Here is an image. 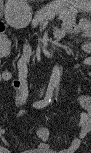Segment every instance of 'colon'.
Listing matches in <instances>:
<instances>
[{
  "label": "colon",
  "instance_id": "colon-1",
  "mask_svg": "<svg viewBox=\"0 0 91 153\" xmlns=\"http://www.w3.org/2000/svg\"><path fill=\"white\" fill-rule=\"evenodd\" d=\"M0 41L2 43V47L6 46V45L8 46L10 44L9 38L7 36L3 35V34L0 37Z\"/></svg>",
  "mask_w": 91,
  "mask_h": 153
}]
</instances>
